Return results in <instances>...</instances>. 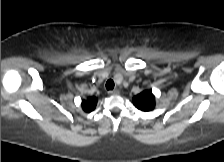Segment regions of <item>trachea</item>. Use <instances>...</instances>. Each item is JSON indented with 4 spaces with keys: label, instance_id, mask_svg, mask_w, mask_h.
<instances>
[{
    "label": "trachea",
    "instance_id": "trachea-1",
    "mask_svg": "<svg viewBox=\"0 0 224 162\" xmlns=\"http://www.w3.org/2000/svg\"><path fill=\"white\" fill-rule=\"evenodd\" d=\"M115 84H114V81L112 79H109L107 82H106V89L107 90H113Z\"/></svg>",
    "mask_w": 224,
    "mask_h": 162
}]
</instances>
